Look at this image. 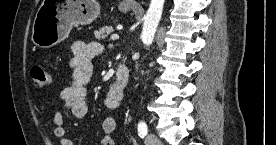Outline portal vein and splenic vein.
<instances>
[{
    "instance_id": "obj_1",
    "label": "portal vein and splenic vein",
    "mask_w": 276,
    "mask_h": 145,
    "mask_svg": "<svg viewBox=\"0 0 276 145\" xmlns=\"http://www.w3.org/2000/svg\"><path fill=\"white\" fill-rule=\"evenodd\" d=\"M117 39H119V36L117 35V34H113L112 36H111V40H117Z\"/></svg>"
}]
</instances>
